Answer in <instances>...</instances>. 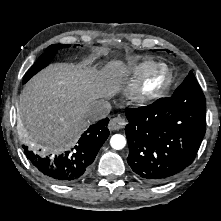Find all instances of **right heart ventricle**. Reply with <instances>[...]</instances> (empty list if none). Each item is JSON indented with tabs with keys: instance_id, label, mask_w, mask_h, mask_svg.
Listing matches in <instances>:
<instances>
[{
	"instance_id": "right-heart-ventricle-1",
	"label": "right heart ventricle",
	"mask_w": 221,
	"mask_h": 221,
	"mask_svg": "<svg viewBox=\"0 0 221 221\" xmlns=\"http://www.w3.org/2000/svg\"><path fill=\"white\" fill-rule=\"evenodd\" d=\"M154 64L155 62L153 61H142L131 66L128 72L133 78H138Z\"/></svg>"
}]
</instances>
